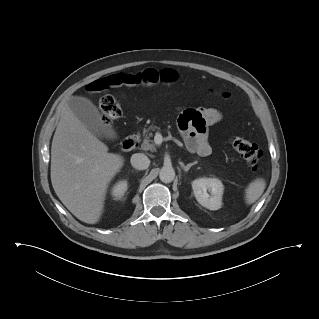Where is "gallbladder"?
Returning a JSON list of instances; mask_svg holds the SVG:
<instances>
[{"label":"gallbladder","mask_w":319,"mask_h":319,"mask_svg":"<svg viewBox=\"0 0 319 319\" xmlns=\"http://www.w3.org/2000/svg\"><path fill=\"white\" fill-rule=\"evenodd\" d=\"M67 104L74 115L96 136L110 140L117 137L112 126L102 120L98 108L89 99L74 96L69 98Z\"/></svg>","instance_id":"gallbladder-1"}]
</instances>
